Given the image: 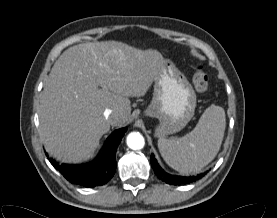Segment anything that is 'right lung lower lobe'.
Returning <instances> with one entry per match:
<instances>
[{"label": "right lung lower lobe", "mask_w": 277, "mask_h": 218, "mask_svg": "<svg viewBox=\"0 0 277 218\" xmlns=\"http://www.w3.org/2000/svg\"><path fill=\"white\" fill-rule=\"evenodd\" d=\"M126 130V128L115 130L106 140L98 159L89 164L59 165V163L53 159H50V162L71 183L85 187L103 185L107 183L115 173L116 148Z\"/></svg>", "instance_id": "98d812e1"}]
</instances>
